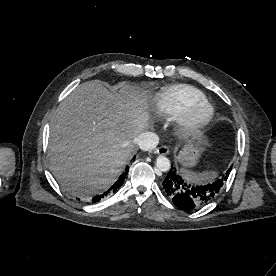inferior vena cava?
<instances>
[{
    "label": "inferior vena cava",
    "mask_w": 276,
    "mask_h": 276,
    "mask_svg": "<svg viewBox=\"0 0 276 276\" xmlns=\"http://www.w3.org/2000/svg\"><path fill=\"white\" fill-rule=\"evenodd\" d=\"M134 143L143 151H148L156 148L159 143V137L154 132H143L134 138Z\"/></svg>",
    "instance_id": "obj_1"
}]
</instances>
